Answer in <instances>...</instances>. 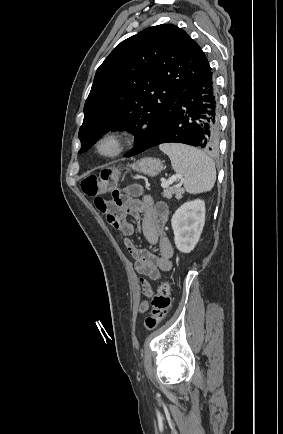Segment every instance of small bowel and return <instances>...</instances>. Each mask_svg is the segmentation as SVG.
<instances>
[{"instance_id":"obj_1","label":"small bowel","mask_w":283,"mask_h":434,"mask_svg":"<svg viewBox=\"0 0 283 434\" xmlns=\"http://www.w3.org/2000/svg\"><path fill=\"white\" fill-rule=\"evenodd\" d=\"M97 209L106 214L108 223L123 236V243L134 259L135 270L157 281L162 272L172 268L171 258L173 246L166 234L165 225L168 209L164 203H154L149 196H142V190L137 185L129 186L124 193L113 192V200L95 198ZM131 215L138 220V229L147 241L149 249H139L129 238L134 233V226L127 220ZM157 248L158 254L154 251ZM145 300L139 306V312L148 309L147 299L153 294L151 285L145 278L140 279Z\"/></svg>"}]
</instances>
